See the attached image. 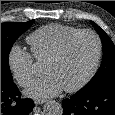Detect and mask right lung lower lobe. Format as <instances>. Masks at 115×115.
Wrapping results in <instances>:
<instances>
[{
  "label": "right lung lower lobe",
  "mask_w": 115,
  "mask_h": 115,
  "mask_svg": "<svg viewBox=\"0 0 115 115\" xmlns=\"http://www.w3.org/2000/svg\"><path fill=\"white\" fill-rule=\"evenodd\" d=\"M17 86L1 82V115H28L33 107V100L22 99Z\"/></svg>",
  "instance_id": "obj_1"
}]
</instances>
